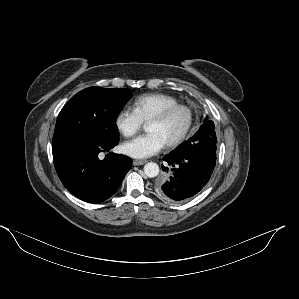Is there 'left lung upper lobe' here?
Returning <instances> with one entry per match:
<instances>
[{"label": "left lung upper lobe", "mask_w": 299, "mask_h": 299, "mask_svg": "<svg viewBox=\"0 0 299 299\" xmlns=\"http://www.w3.org/2000/svg\"><path fill=\"white\" fill-rule=\"evenodd\" d=\"M215 126L213 121H211L209 118H206L204 123L200 126L199 131L192 137L190 138L187 142H197L201 137L206 136V141L210 142V149H213L211 155L216 156V143H217V138H216V133L214 130ZM185 143V142H184ZM178 146L174 151L180 150L182 145Z\"/></svg>", "instance_id": "obj_1"}]
</instances>
